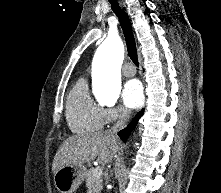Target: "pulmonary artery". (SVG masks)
Returning <instances> with one entry per match:
<instances>
[{
	"label": "pulmonary artery",
	"instance_id": "obj_1",
	"mask_svg": "<svg viewBox=\"0 0 221 193\" xmlns=\"http://www.w3.org/2000/svg\"><path fill=\"white\" fill-rule=\"evenodd\" d=\"M135 73V69L131 64H126L122 69V74L126 77H132Z\"/></svg>",
	"mask_w": 221,
	"mask_h": 193
}]
</instances>
